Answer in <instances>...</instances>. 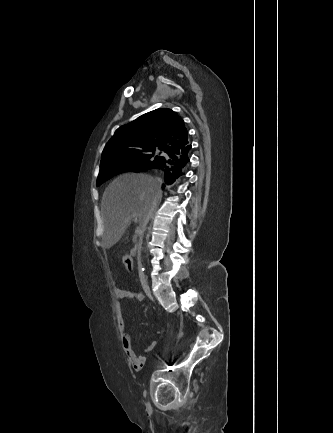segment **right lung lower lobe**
<instances>
[{"instance_id": "1", "label": "right lung lower lobe", "mask_w": 333, "mask_h": 433, "mask_svg": "<svg viewBox=\"0 0 333 433\" xmlns=\"http://www.w3.org/2000/svg\"><path fill=\"white\" fill-rule=\"evenodd\" d=\"M190 149L191 145L188 144L182 148L166 152L170 159L163 157V159L153 167L162 172L167 184H172L185 174V169L190 162ZM164 187L165 185L162 186V188Z\"/></svg>"}]
</instances>
